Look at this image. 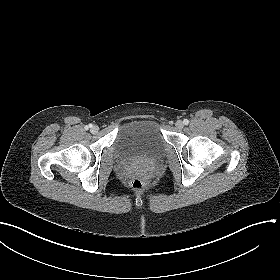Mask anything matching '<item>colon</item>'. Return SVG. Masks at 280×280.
<instances>
[{
  "label": "colon",
  "instance_id": "colon-1",
  "mask_svg": "<svg viewBox=\"0 0 280 280\" xmlns=\"http://www.w3.org/2000/svg\"><path fill=\"white\" fill-rule=\"evenodd\" d=\"M149 184L147 182V179L139 174L136 173L131 181V188L136 192H142L148 188Z\"/></svg>",
  "mask_w": 280,
  "mask_h": 280
}]
</instances>
